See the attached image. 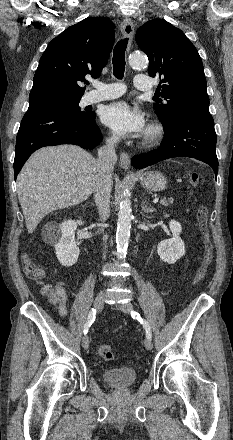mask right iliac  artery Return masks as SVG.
I'll list each match as a JSON object with an SVG mask.
<instances>
[{
	"instance_id": "82829eb1",
	"label": "right iliac artery",
	"mask_w": 233,
	"mask_h": 440,
	"mask_svg": "<svg viewBox=\"0 0 233 440\" xmlns=\"http://www.w3.org/2000/svg\"><path fill=\"white\" fill-rule=\"evenodd\" d=\"M95 316H96V309L92 308L89 312L88 319L84 325V330H83L84 334L88 333L90 326L95 321Z\"/></svg>"
}]
</instances>
